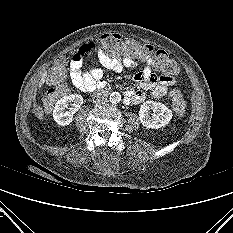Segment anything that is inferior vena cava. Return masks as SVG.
Instances as JSON below:
<instances>
[{
    "label": "inferior vena cava",
    "instance_id": "obj_1",
    "mask_svg": "<svg viewBox=\"0 0 233 233\" xmlns=\"http://www.w3.org/2000/svg\"><path fill=\"white\" fill-rule=\"evenodd\" d=\"M94 102L96 105H102L107 102V99L104 97H97Z\"/></svg>",
    "mask_w": 233,
    "mask_h": 233
}]
</instances>
